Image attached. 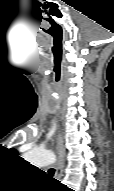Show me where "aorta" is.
Segmentation results:
<instances>
[{
    "mask_svg": "<svg viewBox=\"0 0 114 191\" xmlns=\"http://www.w3.org/2000/svg\"><path fill=\"white\" fill-rule=\"evenodd\" d=\"M24 158L37 167L47 166L56 161V157L51 151L39 149L27 152Z\"/></svg>",
    "mask_w": 114,
    "mask_h": 191,
    "instance_id": "762f6f07",
    "label": "aorta"
}]
</instances>
